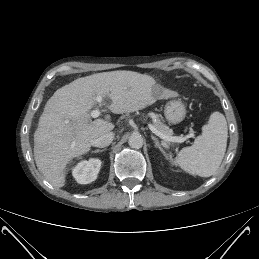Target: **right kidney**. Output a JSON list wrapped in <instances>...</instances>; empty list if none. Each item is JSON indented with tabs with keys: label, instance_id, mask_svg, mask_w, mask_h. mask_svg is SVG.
I'll list each match as a JSON object with an SVG mask.
<instances>
[{
	"label": "right kidney",
	"instance_id": "ca27d5eb",
	"mask_svg": "<svg viewBox=\"0 0 259 259\" xmlns=\"http://www.w3.org/2000/svg\"><path fill=\"white\" fill-rule=\"evenodd\" d=\"M101 163V160L97 158L80 161L72 169V175L78 183L89 184L96 180L101 168Z\"/></svg>",
	"mask_w": 259,
	"mask_h": 259
}]
</instances>
